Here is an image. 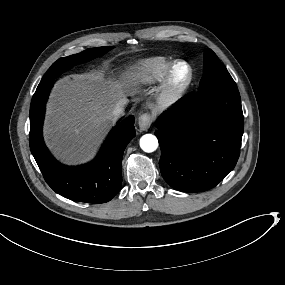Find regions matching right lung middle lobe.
<instances>
[{"mask_svg":"<svg viewBox=\"0 0 285 285\" xmlns=\"http://www.w3.org/2000/svg\"><path fill=\"white\" fill-rule=\"evenodd\" d=\"M111 48L112 47L90 48L81 53L58 59L51 65L49 70L43 76L38 87H44L50 84L56 77H58L63 72L69 70L73 66L79 63H83L85 61H89L94 57L101 56Z\"/></svg>","mask_w":285,"mask_h":285,"instance_id":"1","label":"right lung middle lobe"}]
</instances>
